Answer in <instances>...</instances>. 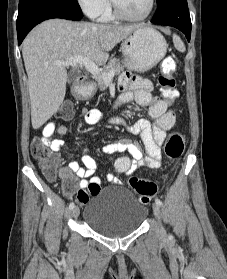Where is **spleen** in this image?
I'll use <instances>...</instances> for the list:
<instances>
[{
	"label": "spleen",
	"mask_w": 227,
	"mask_h": 279,
	"mask_svg": "<svg viewBox=\"0 0 227 279\" xmlns=\"http://www.w3.org/2000/svg\"><path fill=\"white\" fill-rule=\"evenodd\" d=\"M173 43L175 48L180 52H185L186 48L179 36L173 35Z\"/></svg>",
	"instance_id": "obj_1"
}]
</instances>
